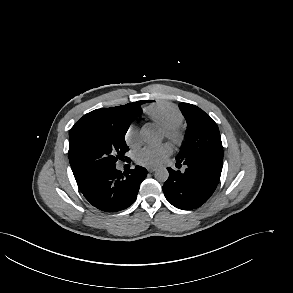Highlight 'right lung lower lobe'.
<instances>
[{"label":"right lung lower lobe","mask_w":293,"mask_h":293,"mask_svg":"<svg viewBox=\"0 0 293 293\" xmlns=\"http://www.w3.org/2000/svg\"><path fill=\"white\" fill-rule=\"evenodd\" d=\"M146 176L147 170L141 166L122 174L114 165L102 170L81 192L94 207L105 212H117L135 202Z\"/></svg>","instance_id":"right-lung-lower-lobe-1"}]
</instances>
